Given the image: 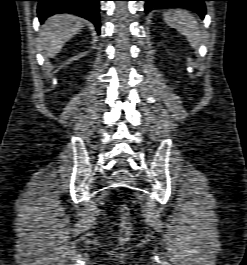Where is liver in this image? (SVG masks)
Masks as SVG:
<instances>
[{
	"mask_svg": "<svg viewBox=\"0 0 247 265\" xmlns=\"http://www.w3.org/2000/svg\"><path fill=\"white\" fill-rule=\"evenodd\" d=\"M84 25V19L70 14L49 17L40 31V46L44 54L54 57Z\"/></svg>",
	"mask_w": 247,
	"mask_h": 265,
	"instance_id": "1",
	"label": "liver"
}]
</instances>
